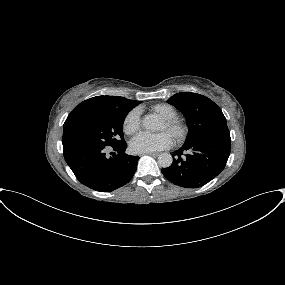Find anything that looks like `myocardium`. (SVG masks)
Instances as JSON below:
<instances>
[{
  "instance_id": "f54148a6",
  "label": "myocardium",
  "mask_w": 285,
  "mask_h": 285,
  "mask_svg": "<svg viewBox=\"0 0 285 285\" xmlns=\"http://www.w3.org/2000/svg\"><path fill=\"white\" fill-rule=\"evenodd\" d=\"M161 122L164 124L172 138L177 143H181L186 139L189 133V127L183 119L175 116L169 118H162Z\"/></svg>"
}]
</instances>
